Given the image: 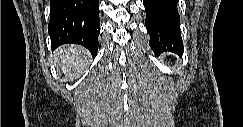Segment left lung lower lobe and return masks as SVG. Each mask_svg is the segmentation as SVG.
<instances>
[{
  "mask_svg": "<svg viewBox=\"0 0 243 127\" xmlns=\"http://www.w3.org/2000/svg\"><path fill=\"white\" fill-rule=\"evenodd\" d=\"M150 47L156 54L183 53L177 0H143Z\"/></svg>",
  "mask_w": 243,
  "mask_h": 127,
  "instance_id": "left-lung-lower-lobe-1",
  "label": "left lung lower lobe"
}]
</instances>
